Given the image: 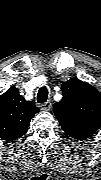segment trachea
I'll return each instance as SVG.
<instances>
[{
	"instance_id": "obj_1",
	"label": "trachea",
	"mask_w": 101,
	"mask_h": 180,
	"mask_svg": "<svg viewBox=\"0 0 101 180\" xmlns=\"http://www.w3.org/2000/svg\"><path fill=\"white\" fill-rule=\"evenodd\" d=\"M48 94H49L48 89L45 86L41 87L37 94V102L45 103L48 99Z\"/></svg>"
}]
</instances>
